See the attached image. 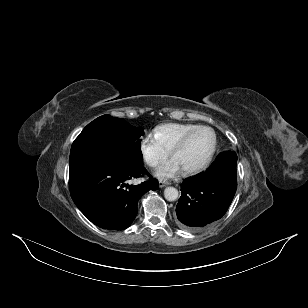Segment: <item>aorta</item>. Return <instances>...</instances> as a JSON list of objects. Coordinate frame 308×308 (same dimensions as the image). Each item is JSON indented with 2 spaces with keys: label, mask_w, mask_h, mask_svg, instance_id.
<instances>
[{
  "label": "aorta",
  "mask_w": 308,
  "mask_h": 308,
  "mask_svg": "<svg viewBox=\"0 0 308 308\" xmlns=\"http://www.w3.org/2000/svg\"><path fill=\"white\" fill-rule=\"evenodd\" d=\"M164 197L168 201H175L178 198V190L174 187H167L164 190Z\"/></svg>",
  "instance_id": "obj_1"
}]
</instances>
